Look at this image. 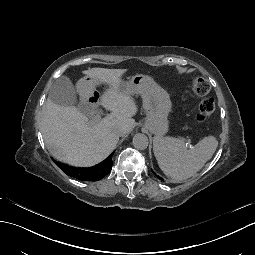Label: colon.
Instances as JSON below:
<instances>
[{
    "instance_id": "colon-1",
    "label": "colon",
    "mask_w": 255,
    "mask_h": 255,
    "mask_svg": "<svg viewBox=\"0 0 255 255\" xmlns=\"http://www.w3.org/2000/svg\"><path fill=\"white\" fill-rule=\"evenodd\" d=\"M192 89L198 96H205L210 91L209 82L201 77H197L192 81ZM215 110V102L213 99H204L198 108L197 118L201 121L209 118Z\"/></svg>"
}]
</instances>
